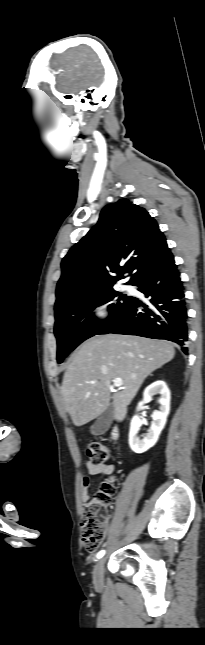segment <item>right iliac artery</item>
I'll return each instance as SVG.
<instances>
[{
  "instance_id": "right-iliac-artery-1",
  "label": "right iliac artery",
  "mask_w": 205,
  "mask_h": 645,
  "mask_svg": "<svg viewBox=\"0 0 205 645\" xmlns=\"http://www.w3.org/2000/svg\"><path fill=\"white\" fill-rule=\"evenodd\" d=\"M104 554H105V550H101V551H99V552H98V554H97V558H101V557H103V556H104Z\"/></svg>"
}]
</instances>
